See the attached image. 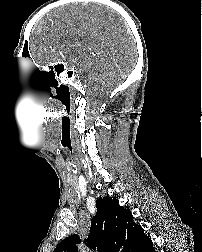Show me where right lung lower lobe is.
<instances>
[{
	"instance_id": "obj_1",
	"label": "right lung lower lobe",
	"mask_w": 202,
	"mask_h": 252,
	"mask_svg": "<svg viewBox=\"0 0 202 252\" xmlns=\"http://www.w3.org/2000/svg\"><path fill=\"white\" fill-rule=\"evenodd\" d=\"M142 252H155L153 248V243L151 242Z\"/></svg>"
}]
</instances>
